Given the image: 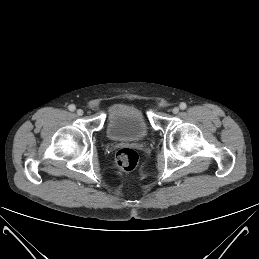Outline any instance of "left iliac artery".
Instances as JSON below:
<instances>
[{
	"label": "left iliac artery",
	"instance_id": "left-iliac-artery-1",
	"mask_svg": "<svg viewBox=\"0 0 259 259\" xmlns=\"http://www.w3.org/2000/svg\"><path fill=\"white\" fill-rule=\"evenodd\" d=\"M179 107H180V109L184 110V109H186L187 105H186V103L182 102V103H180Z\"/></svg>",
	"mask_w": 259,
	"mask_h": 259
}]
</instances>
